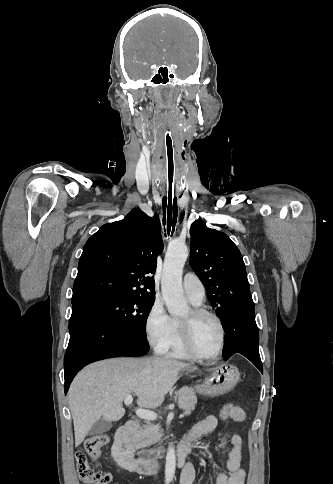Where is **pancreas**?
<instances>
[{
  "label": "pancreas",
  "instance_id": "pancreas-1",
  "mask_svg": "<svg viewBox=\"0 0 333 484\" xmlns=\"http://www.w3.org/2000/svg\"><path fill=\"white\" fill-rule=\"evenodd\" d=\"M178 399L179 407L185 411V415H190L197 404V397L193 389L183 387L175 393ZM163 430L160 425L147 423L139 428L132 436L133 442L141 447H145L161 441Z\"/></svg>",
  "mask_w": 333,
  "mask_h": 484
}]
</instances>
